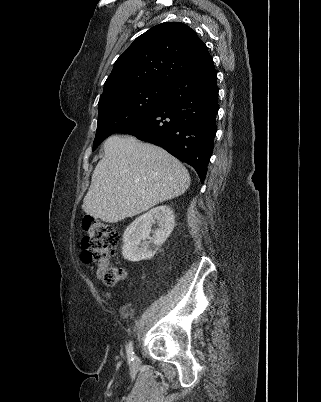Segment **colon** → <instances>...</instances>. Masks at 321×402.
Masks as SVG:
<instances>
[{
  "instance_id": "obj_1",
  "label": "colon",
  "mask_w": 321,
  "mask_h": 402,
  "mask_svg": "<svg viewBox=\"0 0 321 402\" xmlns=\"http://www.w3.org/2000/svg\"><path fill=\"white\" fill-rule=\"evenodd\" d=\"M83 226L87 232L81 241L82 259L85 263L102 261L117 249L120 235L112 224L86 217ZM101 275L107 286H114L124 278L125 271L119 267L106 265L101 267Z\"/></svg>"
}]
</instances>
